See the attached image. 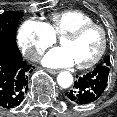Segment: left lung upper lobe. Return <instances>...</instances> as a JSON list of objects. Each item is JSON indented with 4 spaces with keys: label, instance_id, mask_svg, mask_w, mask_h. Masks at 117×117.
I'll use <instances>...</instances> for the list:
<instances>
[{
    "label": "left lung upper lobe",
    "instance_id": "obj_1",
    "mask_svg": "<svg viewBox=\"0 0 117 117\" xmlns=\"http://www.w3.org/2000/svg\"><path fill=\"white\" fill-rule=\"evenodd\" d=\"M103 65H106V66H110L111 65V63H110V58L109 57H106L105 59H104V62L102 63Z\"/></svg>",
    "mask_w": 117,
    "mask_h": 117
}]
</instances>
